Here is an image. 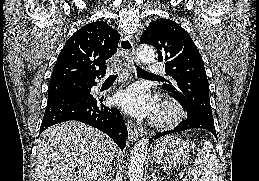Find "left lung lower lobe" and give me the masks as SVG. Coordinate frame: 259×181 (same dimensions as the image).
<instances>
[{
    "mask_svg": "<svg viewBox=\"0 0 259 181\" xmlns=\"http://www.w3.org/2000/svg\"><path fill=\"white\" fill-rule=\"evenodd\" d=\"M182 107L185 108L187 111V115H188L187 119L185 121L181 122L173 130L165 131L162 133H157L154 136V139H158L161 136H164V135H167V134H170L173 132L176 133V132L184 131L187 129H193V128L206 129V130L210 131L217 138L213 119H209V118L201 116V115H194L183 105H182Z\"/></svg>",
    "mask_w": 259,
    "mask_h": 181,
    "instance_id": "0a47b994",
    "label": "left lung lower lobe"
}]
</instances>
